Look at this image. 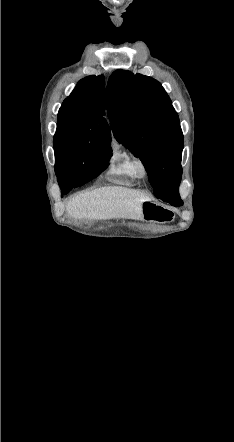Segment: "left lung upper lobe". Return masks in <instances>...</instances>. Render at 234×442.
<instances>
[{
    "instance_id": "left-lung-upper-lobe-1",
    "label": "left lung upper lobe",
    "mask_w": 234,
    "mask_h": 442,
    "mask_svg": "<svg viewBox=\"0 0 234 442\" xmlns=\"http://www.w3.org/2000/svg\"><path fill=\"white\" fill-rule=\"evenodd\" d=\"M106 107L116 140L143 162L154 195L166 202L178 200L183 134L161 84L117 70L108 81Z\"/></svg>"
}]
</instances>
